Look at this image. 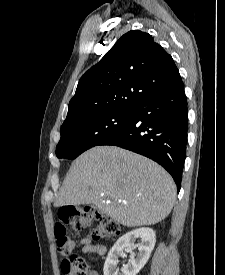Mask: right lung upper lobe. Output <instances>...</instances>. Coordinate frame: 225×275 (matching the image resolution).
<instances>
[{
  "instance_id": "right-lung-upper-lobe-1",
  "label": "right lung upper lobe",
  "mask_w": 225,
  "mask_h": 275,
  "mask_svg": "<svg viewBox=\"0 0 225 275\" xmlns=\"http://www.w3.org/2000/svg\"><path fill=\"white\" fill-rule=\"evenodd\" d=\"M181 82L174 60L151 35L129 31L81 77L62 126L102 112L132 110Z\"/></svg>"
}]
</instances>
